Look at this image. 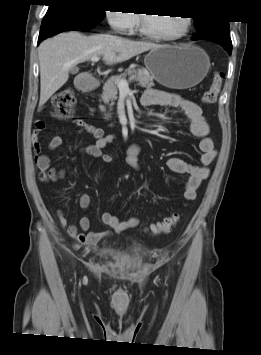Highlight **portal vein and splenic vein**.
Wrapping results in <instances>:
<instances>
[{"label": "portal vein and splenic vein", "instance_id": "18ae733b", "mask_svg": "<svg viewBox=\"0 0 261 355\" xmlns=\"http://www.w3.org/2000/svg\"><path fill=\"white\" fill-rule=\"evenodd\" d=\"M99 59H100L99 56H94V57L91 58V61L92 62H97V61H99ZM132 79H133V77L130 78V81ZM117 86H118L120 91H128L129 90V83L126 80H122V79L118 80L117 81Z\"/></svg>", "mask_w": 261, "mask_h": 355}]
</instances>
